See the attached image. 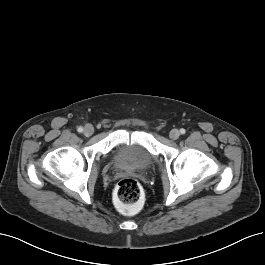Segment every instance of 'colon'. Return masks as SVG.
Returning a JSON list of instances; mask_svg holds the SVG:
<instances>
[{
	"label": "colon",
	"mask_w": 265,
	"mask_h": 265,
	"mask_svg": "<svg viewBox=\"0 0 265 265\" xmlns=\"http://www.w3.org/2000/svg\"><path fill=\"white\" fill-rule=\"evenodd\" d=\"M114 196L118 206L127 211L141 202L143 191L141 185L135 179L125 178L117 183Z\"/></svg>",
	"instance_id": "1"
}]
</instances>
